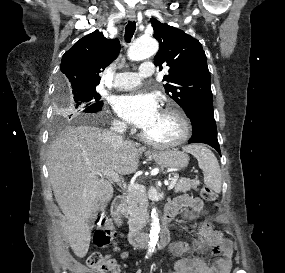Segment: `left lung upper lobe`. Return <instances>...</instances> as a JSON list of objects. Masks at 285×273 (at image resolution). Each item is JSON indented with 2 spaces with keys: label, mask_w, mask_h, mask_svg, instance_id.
Instances as JSON below:
<instances>
[{
  "label": "left lung upper lobe",
  "mask_w": 285,
  "mask_h": 273,
  "mask_svg": "<svg viewBox=\"0 0 285 273\" xmlns=\"http://www.w3.org/2000/svg\"><path fill=\"white\" fill-rule=\"evenodd\" d=\"M160 49L155 65L170 67L164 76L165 92L189 115L194 110L213 108L210 73L202 45L180 29L151 18Z\"/></svg>",
  "instance_id": "obj_1"
}]
</instances>
